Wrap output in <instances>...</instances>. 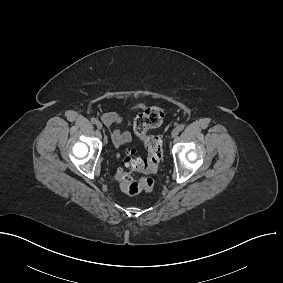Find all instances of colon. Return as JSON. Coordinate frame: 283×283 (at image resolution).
Returning <instances> with one entry per match:
<instances>
[{
	"label": "colon",
	"instance_id": "1",
	"mask_svg": "<svg viewBox=\"0 0 283 283\" xmlns=\"http://www.w3.org/2000/svg\"><path fill=\"white\" fill-rule=\"evenodd\" d=\"M165 111L158 106L147 108L134 120V132L143 142L147 155L145 158L135 156L133 150H127L124 157V165L128 169L144 174L155 173L161 162L163 150L159 136L151 135V129L159 127L164 120ZM122 191L128 195H137L143 191L149 192L153 188V180L150 177L136 179L131 173L119 169L116 173Z\"/></svg>",
	"mask_w": 283,
	"mask_h": 283
}]
</instances>
